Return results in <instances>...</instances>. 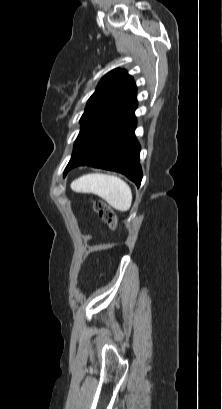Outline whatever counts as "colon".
Returning a JSON list of instances; mask_svg holds the SVG:
<instances>
[{"mask_svg":"<svg viewBox=\"0 0 222 409\" xmlns=\"http://www.w3.org/2000/svg\"><path fill=\"white\" fill-rule=\"evenodd\" d=\"M93 208L99 217L108 224L111 229L117 227V216L115 212L102 200H94Z\"/></svg>","mask_w":222,"mask_h":409,"instance_id":"obj_1","label":"colon"}]
</instances>
